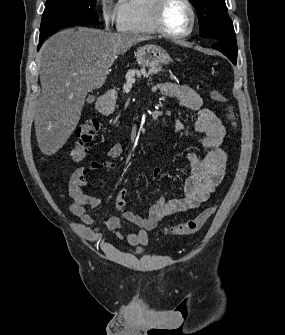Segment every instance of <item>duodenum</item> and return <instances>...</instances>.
<instances>
[{
    "mask_svg": "<svg viewBox=\"0 0 285 335\" xmlns=\"http://www.w3.org/2000/svg\"><path fill=\"white\" fill-rule=\"evenodd\" d=\"M114 99V93H110L104 100L100 102V108L102 111H106L110 108L111 103ZM158 123V122H156Z\"/></svg>",
    "mask_w": 285,
    "mask_h": 335,
    "instance_id": "duodenum-1",
    "label": "duodenum"
}]
</instances>
